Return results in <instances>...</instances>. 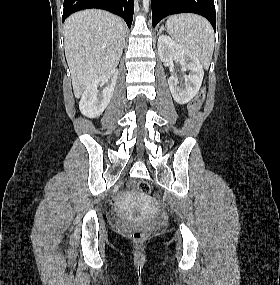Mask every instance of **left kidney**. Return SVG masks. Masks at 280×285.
<instances>
[{
  "mask_svg": "<svg viewBox=\"0 0 280 285\" xmlns=\"http://www.w3.org/2000/svg\"><path fill=\"white\" fill-rule=\"evenodd\" d=\"M158 54L163 62L179 61L182 71H190L185 75V87L179 86L178 77L173 74L168 79V85L174 100L179 104L188 103L199 91L204 70L198 58L188 49L173 41L167 35L158 38Z\"/></svg>",
  "mask_w": 280,
  "mask_h": 285,
  "instance_id": "obj_1",
  "label": "left kidney"
}]
</instances>
